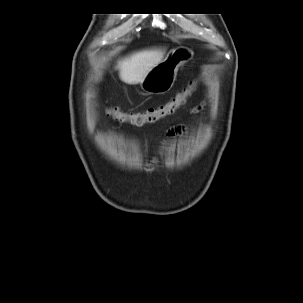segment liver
I'll return each mask as SVG.
<instances>
[{
  "label": "liver",
  "instance_id": "liver-1",
  "mask_svg": "<svg viewBox=\"0 0 303 303\" xmlns=\"http://www.w3.org/2000/svg\"><path fill=\"white\" fill-rule=\"evenodd\" d=\"M165 49H150L135 52L118 60L117 69L120 79L126 84H137L146 77L149 71L161 62Z\"/></svg>",
  "mask_w": 303,
  "mask_h": 303
}]
</instances>
